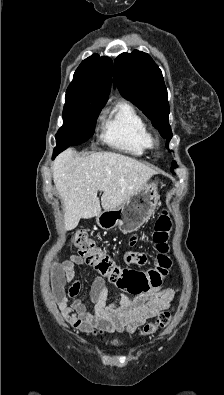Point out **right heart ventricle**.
Masks as SVG:
<instances>
[{
	"instance_id": "e07e8e85",
	"label": "right heart ventricle",
	"mask_w": 224,
	"mask_h": 395,
	"mask_svg": "<svg viewBox=\"0 0 224 395\" xmlns=\"http://www.w3.org/2000/svg\"><path fill=\"white\" fill-rule=\"evenodd\" d=\"M100 137L107 145L134 156H143L151 149L146 122L126 101L118 102L108 113Z\"/></svg>"
}]
</instances>
